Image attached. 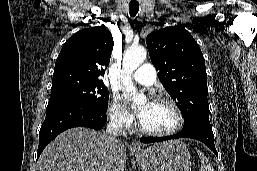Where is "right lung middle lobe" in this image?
Wrapping results in <instances>:
<instances>
[{"label":"right lung middle lobe","mask_w":257,"mask_h":171,"mask_svg":"<svg viewBox=\"0 0 257 171\" xmlns=\"http://www.w3.org/2000/svg\"><path fill=\"white\" fill-rule=\"evenodd\" d=\"M108 98L109 92L103 82L77 83L51 90L48 104L75 101L106 112Z\"/></svg>","instance_id":"1"}]
</instances>
